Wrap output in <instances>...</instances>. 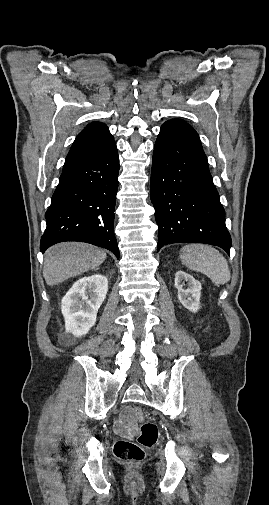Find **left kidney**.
<instances>
[{
	"label": "left kidney",
	"mask_w": 269,
	"mask_h": 505,
	"mask_svg": "<svg viewBox=\"0 0 269 505\" xmlns=\"http://www.w3.org/2000/svg\"><path fill=\"white\" fill-rule=\"evenodd\" d=\"M187 288L185 289V283ZM175 287L178 290V299L180 303L189 311L197 312L200 309L201 283L192 275L179 270L175 274Z\"/></svg>",
	"instance_id": "obj_1"
}]
</instances>
